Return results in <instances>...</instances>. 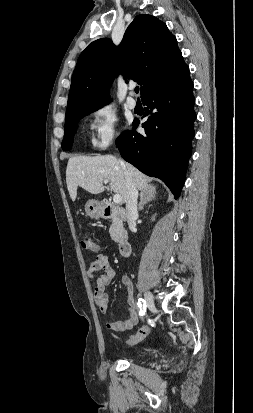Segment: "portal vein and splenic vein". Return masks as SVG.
Wrapping results in <instances>:
<instances>
[{
	"mask_svg": "<svg viewBox=\"0 0 253 413\" xmlns=\"http://www.w3.org/2000/svg\"><path fill=\"white\" fill-rule=\"evenodd\" d=\"M104 183L107 184L108 181L105 180ZM108 190H109V188H108ZM121 201H122V199H121L120 194H115V195L113 196V202H114V203L119 204V203H121Z\"/></svg>",
	"mask_w": 253,
	"mask_h": 413,
	"instance_id": "1",
	"label": "portal vein and splenic vein"
}]
</instances>
